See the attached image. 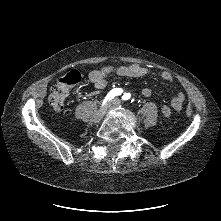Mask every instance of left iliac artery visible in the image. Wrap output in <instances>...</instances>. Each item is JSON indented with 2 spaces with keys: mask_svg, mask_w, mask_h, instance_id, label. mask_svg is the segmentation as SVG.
I'll return each instance as SVG.
<instances>
[{
  "mask_svg": "<svg viewBox=\"0 0 221 221\" xmlns=\"http://www.w3.org/2000/svg\"><path fill=\"white\" fill-rule=\"evenodd\" d=\"M130 98V94L129 93H125L123 96H122V99L123 100H128Z\"/></svg>",
  "mask_w": 221,
  "mask_h": 221,
  "instance_id": "left-iliac-artery-1",
  "label": "left iliac artery"
}]
</instances>
